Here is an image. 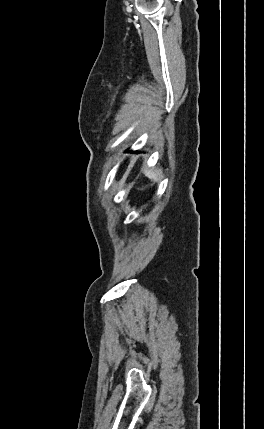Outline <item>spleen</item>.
I'll return each instance as SVG.
<instances>
[{
	"mask_svg": "<svg viewBox=\"0 0 264 429\" xmlns=\"http://www.w3.org/2000/svg\"><path fill=\"white\" fill-rule=\"evenodd\" d=\"M144 174L151 180L158 181L162 177V172L157 169L144 170Z\"/></svg>",
	"mask_w": 264,
	"mask_h": 429,
	"instance_id": "obj_1",
	"label": "spleen"
}]
</instances>
